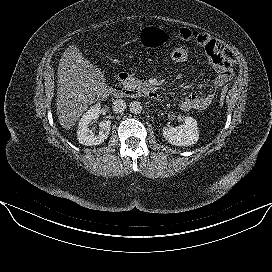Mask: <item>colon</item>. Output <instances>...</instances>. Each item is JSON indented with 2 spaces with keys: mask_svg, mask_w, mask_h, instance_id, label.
<instances>
[{
  "mask_svg": "<svg viewBox=\"0 0 272 272\" xmlns=\"http://www.w3.org/2000/svg\"><path fill=\"white\" fill-rule=\"evenodd\" d=\"M169 57L172 61L177 63L187 62L190 58V51L185 46H174L169 51ZM229 87L226 86L221 90L219 95V105H223L224 99L227 95Z\"/></svg>",
  "mask_w": 272,
  "mask_h": 272,
  "instance_id": "1",
  "label": "colon"
}]
</instances>
